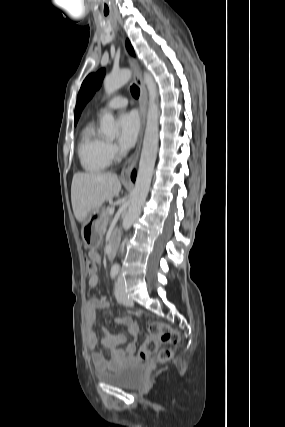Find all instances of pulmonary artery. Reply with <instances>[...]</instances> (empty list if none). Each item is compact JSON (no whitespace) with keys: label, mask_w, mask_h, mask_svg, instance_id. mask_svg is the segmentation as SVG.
<instances>
[{"label":"pulmonary artery","mask_w":285,"mask_h":427,"mask_svg":"<svg viewBox=\"0 0 285 427\" xmlns=\"http://www.w3.org/2000/svg\"><path fill=\"white\" fill-rule=\"evenodd\" d=\"M128 100L126 97L122 95L114 96L110 99L103 107H101L98 111V114L103 113L106 110H113L118 108H123L127 105Z\"/></svg>","instance_id":"e3ab8cb5"}]
</instances>
